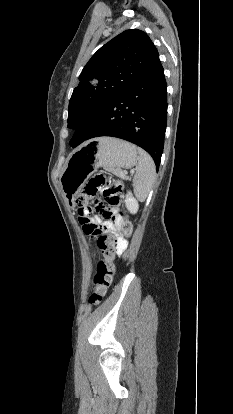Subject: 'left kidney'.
Here are the masks:
<instances>
[{"instance_id": "5707ae66", "label": "left kidney", "mask_w": 233, "mask_h": 414, "mask_svg": "<svg viewBox=\"0 0 233 414\" xmlns=\"http://www.w3.org/2000/svg\"><path fill=\"white\" fill-rule=\"evenodd\" d=\"M125 205L128 211L132 214H136L139 208L138 201L134 198L131 192H128L125 199Z\"/></svg>"}]
</instances>
